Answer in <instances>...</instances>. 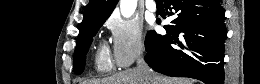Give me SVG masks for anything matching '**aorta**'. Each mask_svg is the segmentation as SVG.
Masks as SVG:
<instances>
[{"label":"aorta","instance_id":"aorta-1","mask_svg":"<svg viewBox=\"0 0 260 84\" xmlns=\"http://www.w3.org/2000/svg\"><path fill=\"white\" fill-rule=\"evenodd\" d=\"M137 6V0H121L120 1V10L121 14L129 18L134 13Z\"/></svg>","mask_w":260,"mask_h":84}]
</instances>
